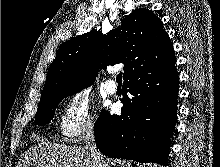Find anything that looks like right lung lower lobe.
Here are the masks:
<instances>
[{
  "label": "right lung lower lobe",
  "mask_w": 220,
  "mask_h": 167,
  "mask_svg": "<svg viewBox=\"0 0 220 167\" xmlns=\"http://www.w3.org/2000/svg\"><path fill=\"white\" fill-rule=\"evenodd\" d=\"M175 63L137 73L124 81L121 115L102 110L95 123L96 145L101 153L167 165L177 118L179 80Z\"/></svg>",
  "instance_id": "1"
}]
</instances>
